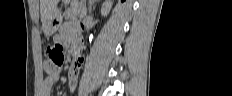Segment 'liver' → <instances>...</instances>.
<instances>
[{
    "label": "liver",
    "instance_id": "1",
    "mask_svg": "<svg viewBox=\"0 0 232 96\" xmlns=\"http://www.w3.org/2000/svg\"><path fill=\"white\" fill-rule=\"evenodd\" d=\"M58 2L59 0H40V14L42 26H44L46 20L49 18Z\"/></svg>",
    "mask_w": 232,
    "mask_h": 96
}]
</instances>
